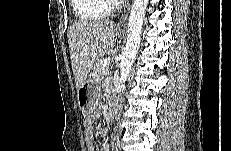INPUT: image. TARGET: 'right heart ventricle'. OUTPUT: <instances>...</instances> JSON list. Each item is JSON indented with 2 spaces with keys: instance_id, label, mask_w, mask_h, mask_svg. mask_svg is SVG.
<instances>
[{
  "instance_id": "e07e8e85",
  "label": "right heart ventricle",
  "mask_w": 231,
  "mask_h": 151,
  "mask_svg": "<svg viewBox=\"0 0 231 151\" xmlns=\"http://www.w3.org/2000/svg\"><path fill=\"white\" fill-rule=\"evenodd\" d=\"M73 9L80 24L100 21L108 13L102 0H74Z\"/></svg>"
}]
</instances>
